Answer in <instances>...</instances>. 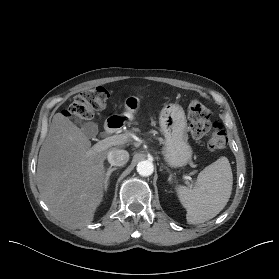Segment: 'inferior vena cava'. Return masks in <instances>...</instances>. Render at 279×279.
<instances>
[{
  "label": "inferior vena cava",
  "mask_w": 279,
  "mask_h": 279,
  "mask_svg": "<svg viewBox=\"0 0 279 279\" xmlns=\"http://www.w3.org/2000/svg\"><path fill=\"white\" fill-rule=\"evenodd\" d=\"M108 162L113 166H123L129 160V153L123 149H112L107 155Z\"/></svg>",
  "instance_id": "inferior-vena-cava-1"
}]
</instances>
